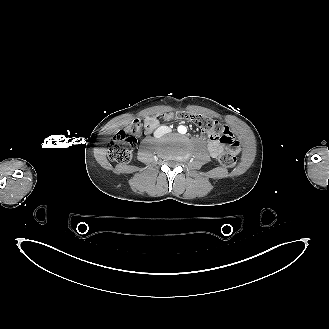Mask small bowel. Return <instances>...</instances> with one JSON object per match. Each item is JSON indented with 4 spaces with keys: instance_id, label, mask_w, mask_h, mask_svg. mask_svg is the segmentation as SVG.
<instances>
[{
    "instance_id": "small-bowel-1",
    "label": "small bowel",
    "mask_w": 329,
    "mask_h": 329,
    "mask_svg": "<svg viewBox=\"0 0 329 329\" xmlns=\"http://www.w3.org/2000/svg\"><path fill=\"white\" fill-rule=\"evenodd\" d=\"M145 123L147 124L148 132H150L156 126V121L152 117H147L145 119ZM226 131L229 134H232L228 127H226ZM205 137L207 138V141H208V151H209L210 155L214 158H219L220 155L224 152V148H223L221 142L211 134L205 133Z\"/></svg>"
}]
</instances>
